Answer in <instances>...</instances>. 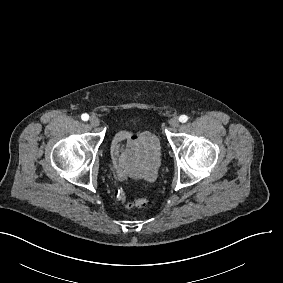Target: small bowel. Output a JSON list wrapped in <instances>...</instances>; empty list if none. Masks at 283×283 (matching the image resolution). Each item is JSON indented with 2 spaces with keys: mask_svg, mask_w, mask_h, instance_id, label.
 I'll use <instances>...</instances> for the list:
<instances>
[{
  "mask_svg": "<svg viewBox=\"0 0 283 283\" xmlns=\"http://www.w3.org/2000/svg\"><path fill=\"white\" fill-rule=\"evenodd\" d=\"M127 141L130 148H135L141 144L157 145V138L150 132L144 131L139 134H132L129 131H119L112 142L111 158L117 175L125 180L129 176L130 164L120 149V143ZM154 177V170L151 169L145 174V178L151 180Z\"/></svg>",
  "mask_w": 283,
  "mask_h": 283,
  "instance_id": "obj_1",
  "label": "small bowel"
}]
</instances>
